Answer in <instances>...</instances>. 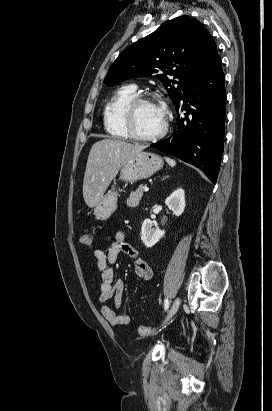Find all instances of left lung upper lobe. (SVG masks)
Wrapping results in <instances>:
<instances>
[{
  "label": "left lung upper lobe",
  "instance_id": "5c2ea615",
  "mask_svg": "<svg viewBox=\"0 0 272 411\" xmlns=\"http://www.w3.org/2000/svg\"><path fill=\"white\" fill-rule=\"evenodd\" d=\"M217 55L215 41L198 20L177 17L125 49L104 83L114 86L126 79L156 75L176 105Z\"/></svg>",
  "mask_w": 272,
  "mask_h": 411
}]
</instances>
